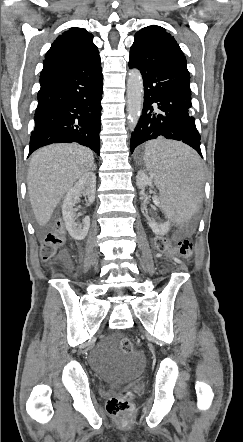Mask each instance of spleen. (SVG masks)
I'll return each mask as SVG.
<instances>
[{
	"mask_svg": "<svg viewBox=\"0 0 243 442\" xmlns=\"http://www.w3.org/2000/svg\"><path fill=\"white\" fill-rule=\"evenodd\" d=\"M143 170L153 178L160 190L162 214L166 219H192L197 214L201 184L198 183L201 163L198 155L179 142L150 141L145 146Z\"/></svg>",
	"mask_w": 243,
	"mask_h": 442,
	"instance_id": "obj_1",
	"label": "spleen"
}]
</instances>
